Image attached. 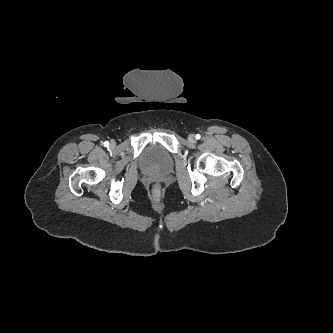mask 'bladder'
Segmentation results:
<instances>
[{"label":"bladder","mask_w":333,"mask_h":333,"mask_svg":"<svg viewBox=\"0 0 333 333\" xmlns=\"http://www.w3.org/2000/svg\"><path fill=\"white\" fill-rule=\"evenodd\" d=\"M140 165L148 173L166 174L173 166L170 152L160 144L147 146L140 156Z\"/></svg>","instance_id":"31cf9c89"}]
</instances>
